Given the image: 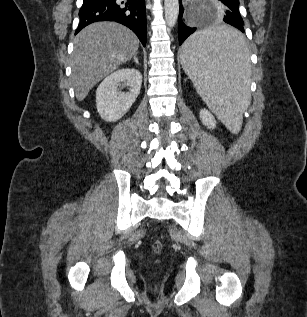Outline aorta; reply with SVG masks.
<instances>
[{
    "label": "aorta",
    "mask_w": 307,
    "mask_h": 317,
    "mask_svg": "<svg viewBox=\"0 0 307 317\" xmlns=\"http://www.w3.org/2000/svg\"><path fill=\"white\" fill-rule=\"evenodd\" d=\"M164 10L167 26L174 27L179 14V0H164Z\"/></svg>",
    "instance_id": "762f6f07"
}]
</instances>
